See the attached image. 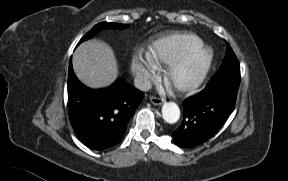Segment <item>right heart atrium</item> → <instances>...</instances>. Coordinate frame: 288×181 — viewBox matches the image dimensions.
<instances>
[{
    "label": "right heart atrium",
    "instance_id": "1",
    "mask_svg": "<svg viewBox=\"0 0 288 181\" xmlns=\"http://www.w3.org/2000/svg\"><path fill=\"white\" fill-rule=\"evenodd\" d=\"M158 65L147 54L145 57L134 56L131 61V69L142 85L150 79Z\"/></svg>",
    "mask_w": 288,
    "mask_h": 181
}]
</instances>
